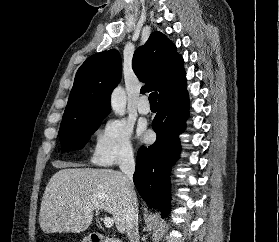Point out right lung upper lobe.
<instances>
[{
  "label": "right lung upper lobe",
  "mask_w": 279,
  "mask_h": 242,
  "mask_svg": "<svg viewBox=\"0 0 279 242\" xmlns=\"http://www.w3.org/2000/svg\"><path fill=\"white\" fill-rule=\"evenodd\" d=\"M132 67L142 90L159 91L158 100L186 86L183 59L175 45L162 33L153 32L133 56ZM121 57L117 50L89 57L78 69L61 126L73 125L110 112V95L121 79Z\"/></svg>",
  "instance_id": "1"
}]
</instances>
